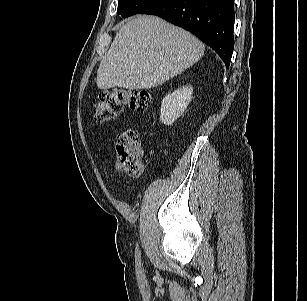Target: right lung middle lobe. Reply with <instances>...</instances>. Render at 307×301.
<instances>
[{"label": "right lung middle lobe", "mask_w": 307, "mask_h": 301, "mask_svg": "<svg viewBox=\"0 0 307 301\" xmlns=\"http://www.w3.org/2000/svg\"><path fill=\"white\" fill-rule=\"evenodd\" d=\"M159 0H118L117 13L123 18L141 13Z\"/></svg>", "instance_id": "dd1d6c3e"}]
</instances>
